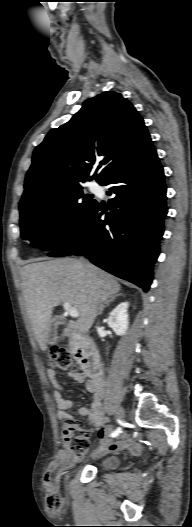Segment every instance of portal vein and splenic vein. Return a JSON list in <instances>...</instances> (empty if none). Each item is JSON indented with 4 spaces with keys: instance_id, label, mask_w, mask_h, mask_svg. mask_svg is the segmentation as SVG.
Segmentation results:
<instances>
[{
    "instance_id": "obj_1",
    "label": "portal vein and splenic vein",
    "mask_w": 192,
    "mask_h": 527,
    "mask_svg": "<svg viewBox=\"0 0 192 527\" xmlns=\"http://www.w3.org/2000/svg\"><path fill=\"white\" fill-rule=\"evenodd\" d=\"M63 307L67 315H70L73 318L79 317V312L70 303L64 302Z\"/></svg>"
}]
</instances>
